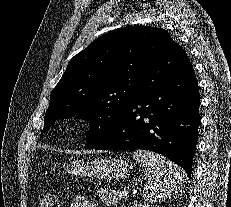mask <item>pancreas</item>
<instances>
[{"instance_id":"1","label":"pancreas","mask_w":231,"mask_h":207,"mask_svg":"<svg viewBox=\"0 0 231 207\" xmlns=\"http://www.w3.org/2000/svg\"><path fill=\"white\" fill-rule=\"evenodd\" d=\"M97 194L107 205H114L122 198V192L119 190H112L101 188Z\"/></svg>"}]
</instances>
